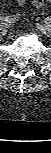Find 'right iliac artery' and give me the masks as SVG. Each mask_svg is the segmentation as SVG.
Returning a JSON list of instances; mask_svg holds the SVG:
<instances>
[{
	"mask_svg": "<svg viewBox=\"0 0 51 153\" xmlns=\"http://www.w3.org/2000/svg\"><path fill=\"white\" fill-rule=\"evenodd\" d=\"M1 21L4 22V23H7L8 22V18L3 17V18H1Z\"/></svg>",
	"mask_w": 51,
	"mask_h": 153,
	"instance_id": "obj_1",
	"label": "right iliac artery"
}]
</instances>
